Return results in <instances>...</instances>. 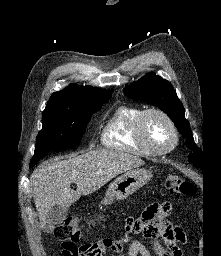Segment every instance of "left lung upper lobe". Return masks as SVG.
<instances>
[{"label":"left lung upper lobe","mask_w":221,"mask_h":256,"mask_svg":"<svg viewBox=\"0 0 221 256\" xmlns=\"http://www.w3.org/2000/svg\"><path fill=\"white\" fill-rule=\"evenodd\" d=\"M123 92L131 99L151 103L167 113L179 132L186 138L187 148L193 151L189 155V162L203 168L204 155L194 143L190 124L184 116V107L169 81L149 73L125 87Z\"/></svg>","instance_id":"5c2ea615"}]
</instances>
